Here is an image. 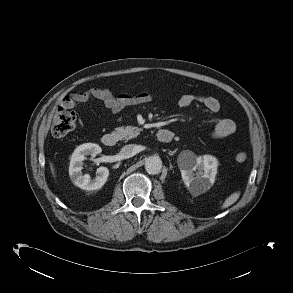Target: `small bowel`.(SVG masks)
<instances>
[{
  "mask_svg": "<svg viewBox=\"0 0 293 293\" xmlns=\"http://www.w3.org/2000/svg\"><path fill=\"white\" fill-rule=\"evenodd\" d=\"M92 98L102 101L104 107L112 114H118L126 107L150 102L152 95L148 92H140L137 94L122 93L116 96L109 89L93 87L85 91H73L70 95L62 99L61 106L72 109L78 104L85 103ZM196 102L203 104L212 115L219 112L220 103L212 96L185 94L179 98L178 106L180 108H188ZM235 130L236 125L231 119L216 118L211 135L213 138L222 139L232 135Z\"/></svg>",
  "mask_w": 293,
  "mask_h": 293,
  "instance_id": "c3829d8e",
  "label": "small bowel"
}]
</instances>
